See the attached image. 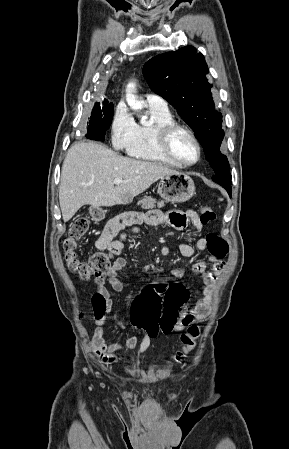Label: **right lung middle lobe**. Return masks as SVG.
<instances>
[{"instance_id": "1", "label": "right lung middle lobe", "mask_w": 289, "mask_h": 449, "mask_svg": "<svg viewBox=\"0 0 289 449\" xmlns=\"http://www.w3.org/2000/svg\"><path fill=\"white\" fill-rule=\"evenodd\" d=\"M113 104L104 101L102 106L96 103L90 117L86 137L91 140L104 141L105 133L109 129L113 119Z\"/></svg>"}]
</instances>
